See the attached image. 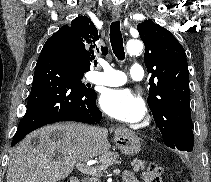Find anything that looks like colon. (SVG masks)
Here are the masks:
<instances>
[{
    "instance_id": "colon-1",
    "label": "colon",
    "mask_w": 211,
    "mask_h": 182,
    "mask_svg": "<svg viewBox=\"0 0 211 182\" xmlns=\"http://www.w3.org/2000/svg\"><path fill=\"white\" fill-rule=\"evenodd\" d=\"M163 169L157 163H151L143 174L145 182H162Z\"/></svg>"
}]
</instances>
